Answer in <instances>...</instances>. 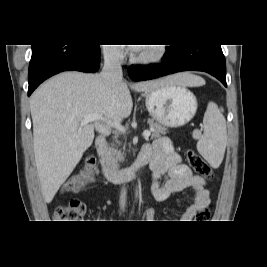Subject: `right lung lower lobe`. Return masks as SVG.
<instances>
[{"instance_id": "98d812e1", "label": "right lung lower lobe", "mask_w": 267, "mask_h": 267, "mask_svg": "<svg viewBox=\"0 0 267 267\" xmlns=\"http://www.w3.org/2000/svg\"><path fill=\"white\" fill-rule=\"evenodd\" d=\"M100 67L99 45H32L28 96L47 78L62 71L94 73Z\"/></svg>"}]
</instances>
